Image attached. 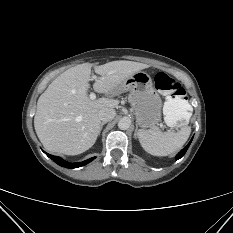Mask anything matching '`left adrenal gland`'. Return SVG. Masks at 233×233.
I'll return each mask as SVG.
<instances>
[{
    "label": "left adrenal gland",
    "instance_id": "obj_1",
    "mask_svg": "<svg viewBox=\"0 0 233 233\" xmlns=\"http://www.w3.org/2000/svg\"><path fill=\"white\" fill-rule=\"evenodd\" d=\"M137 131H138V126H136L135 133H134V138H137Z\"/></svg>",
    "mask_w": 233,
    "mask_h": 233
}]
</instances>
